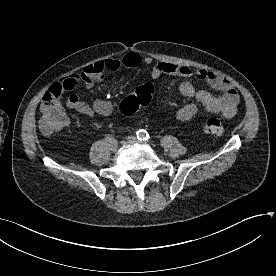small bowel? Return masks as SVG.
Listing matches in <instances>:
<instances>
[{
	"instance_id": "small-bowel-1",
	"label": "small bowel",
	"mask_w": 276,
	"mask_h": 276,
	"mask_svg": "<svg viewBox=\"0 0 276 276\" xmlns=\"http://www.w3.org/2000/svg\"><path fill=\"white\" fill-rule=\"evenodd\" d=\"M142 64L151 67V75L153 78H158L163 74L182 78L195 77L220 92L219 95H214L205 90H197L190 81H183L180 84L179 90L182 95L192 98L193 101L178 109L176 112L177 120L188 121L192 119L200 107H203L210 113L220 114L225 118H231L236 114L239 95L231 82L226 78L217 73L205 70L193 71L184 65L154 62L151 57H143L136 52H128L120 59L96 61L85 66L79 73L72 74L60 82L71 81L75 82L76 86H83L90 89L96 83L102 81L108 74H113L121 68H136ZM48 93L47 91L44 94L41 107L46 103ZM112 97V93L109 92L104 98L96 97L89 104L82 101L76 94H71L68 96L66 104L69 108L87 117L107 116L114 110Z\"/></svg>"
}]
</instances>
